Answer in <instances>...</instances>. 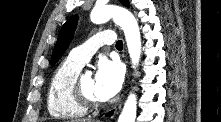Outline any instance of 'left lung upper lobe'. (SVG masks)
Masks as SVG:
<instances>
[{
	"label": "left lung upper lobe",
	"instance_id": "left-lung-upper-lobe-1",
	"mask_svg": "<svg viewBox=\"0 0 221 122\" xmlns=\"http://www.w3.org/2000/svg\"><path fill=\"white\" fill-rule=\"evenodd\" d=\"M120 2L126 7L130 6L128 0H120ZM77 21H78V16L74 15L70 17L66 21V23L62 26L50 61L51 65H54L63 55L65 50L68 48L74 36V31L77 26Z\"/></svg>",
	"mask_w": 221,
	"mask_h": 122
}]
</instances>
